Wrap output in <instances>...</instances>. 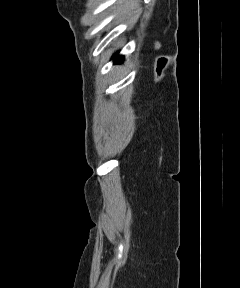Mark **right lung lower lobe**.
I'll list each match as a JSON object with an SVG mask.
<instances>
[{
    "instance_id": "right-lung-lower-lobe-1",
    "label": "right lung lower lobe",
    "mask_w": 240,
    "mask_h": 288,
    "mask_svg": "<svg viewBox=\"0 0 240 288\" xmlns=\"http://www.w3.org/2000/svg\"><path fill=\"white\" fill-rule=\"evenodd\" d=\"M123 59L122 56L117 57L116 62H120Z\"/></svg>"
}]
</instances>
